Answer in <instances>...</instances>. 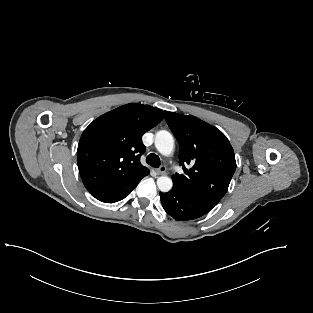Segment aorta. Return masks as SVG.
Masks as SVG:
<instances>
[{
    "label": "aorta",
    "mask_w": 313,
    "mask_h": 313,
    "mask_svg": "<svg viewBox=\"0 0 313 313\" xmlns=\"http://www.w3.org/2000/svg\"><path fill=\"white\" fill-rule=\"evenodd\" d=\"M155 147L164 156H169L174 150V139L171 133L165 130L158 131L155 135ZM157 186L161 192H168L173 186L169 177L161 176L157 179Z\"/></svg>",
    "instance_id": "obj_1"
}]
</instances>
